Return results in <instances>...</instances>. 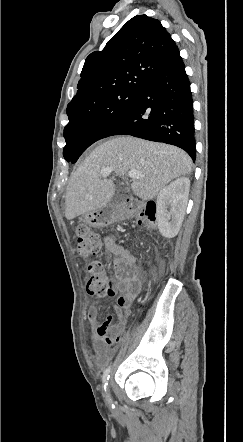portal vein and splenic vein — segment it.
<instances>
[{"instance_id":"18ae733b","label":"portal vein and splenic vein","mask_w":243,"mask_h":442,"mask_svg":"<svg viewBox=\"0 0 243 442\" xmlns=\"http://www.w3.org/2000/svg\"><path fill=\"white\" fill-rule=\"evenodd\" d=\"M112 171H113V169L111 167H106L101 171V176L107 177L108 175H110V173ZM128 176L132 179H139V178H141V173L137 170H130L128 172Z\"/></svg>"}]
</instances>
